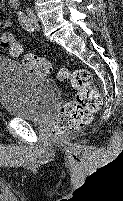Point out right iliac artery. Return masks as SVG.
I'll list each match as a JSON object with an SVG mask.
<instances>
[{"mask_svg":"<svg viewBox=\"0 0 123 201\" xmlns=\"http://www.w3.org/2000/svg\"><path fill=\"white\" fill-rule=\"evenodd\" d=\"M19 5H20V3H19L18 0H10V6H11L12 8L17 9V8L19 7Z\"/></svg>","mask_w":123,"mask_h":201,"instance_id":"1","label":"right iliac artery"}]
</instances>
